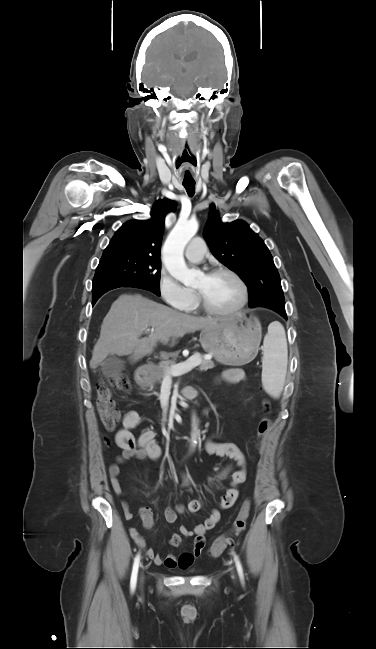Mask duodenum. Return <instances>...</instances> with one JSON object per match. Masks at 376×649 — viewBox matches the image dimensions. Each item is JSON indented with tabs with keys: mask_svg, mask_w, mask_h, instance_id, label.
Here are the masks:
<instances>
[{
	"mask_svg": "<svg viewBox=\"0 0 376 649\" xmlns=\"http://www.w3.org/2000/svg\"><path fill=\"white\" fill-rule=\"evenodd\" d=\"M148 375H149V369H148V367H147V366H142V367H140V368L137 370V372H136V381H137V383H139V384H144V383L147 381V379H148ZM186 390H187V388L184 389V392H183V393H184L185 396H189V395L186 393Z\"/></svg>",
	"mask_w": 376,
	"mask_h": 649,
	"instance_id": "1",
	"label": "duodenum"
}]
</instances>
